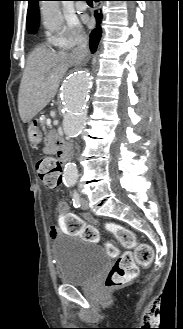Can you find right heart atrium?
Instances as JSON below:
<instances>
[{
	"label": "right heart atrium",
	"instance_id": "obj_1",
	"mask_svg": "<svg viewBox=\"0 0 183 329\" xmlns=\"http://www.w3.org/2000/svg\"><path fill=\"white\" fill-rule=\"evenodd\" d=\"M48 41L59 49H68L85 39L84 31L78 22L66 25L58 32L48 33Z\"/></svg>",
	"mask_w": 183,
	"mask_h": 329
}]
</instances>
